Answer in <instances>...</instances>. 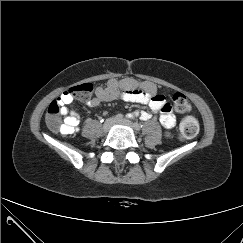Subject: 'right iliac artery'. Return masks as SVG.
Segmentation results:
<instances>
[{
	"mask_svg": "<svg viewBox=\"0 0 243 243\" xmlns=\"http://www.w3.org/2000/svg\"><path fill=\"white\" fill-rule=\"evenodd\" d=\"M115 119H117V120H121V119H123V115H122V114H117V115L115 116Z\"/></svg>",
	"mask_w": 243,
	"mask_h": 243,
	"instance_id": "right-iliac-artery-1",
	"label": "right iliac artery"
}]
</instances>
